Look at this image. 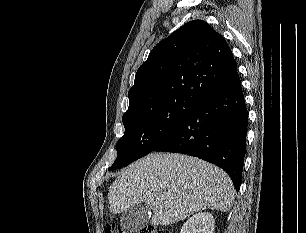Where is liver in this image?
<instances>
[{
	"instance_id": "obj_1",
	"label": "liver",
	"mask_w": 306,
	"mask_h": 233,
	"mask_svg": "<svg viewBox=\"0 0 306 233\" xmlns=\"http://www.w3.org/2000/svg\"><path fill=\"white\" fill-rule=\"evenodd\" d=\"M231 178L220 168L183 154L152 153L129 165L109 188L110 212L148 204L152 225H171L205 209L228 212L234 202Z\"/></svg>"
}]
</instances>
